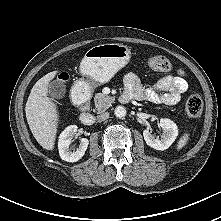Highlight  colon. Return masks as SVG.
I'll return each mask as SVG.
<instances>
[{
  "mask_svg": "<svg viewBox=\"0 0 221 221\" xmlns=\"http://www.w3.org/2000/svg\"><path fill=\"white\" fill-rule=\"evenodd\" d=\"M148 66L159 72H168L171 69L169 59L161 54H152L147 60ZM185 110L190 118H198L202 114L203 101L199 94L192 93L188 96Z\"/></svg>",
  "mask_w": 221,
  "mask_h": 221,
  "instance_id": "obj_1",
  "label": "colon"
}]
</instances>
